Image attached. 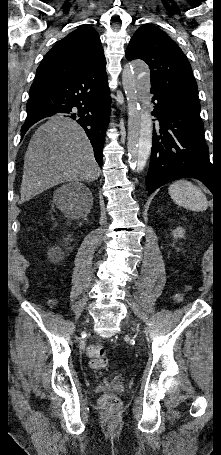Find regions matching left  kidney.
<instances>
[{
  "label": "left kidney",
  "mask_w": 221,
  "mask_h": 455,
  "mask_svg": "<svg viewBox=\"0 0 221 455\" xmlns=\"http://www.w3.org/2000/svg\"><path fill=\"white\" fill-rule=\"evenodd\" d=\"M183 234H184V229L179 228V229H177V230L174 232V237H175V238H177V237H183Z\"/></svg>",
  "instance_id": "obj_1"
}]
</instances>
